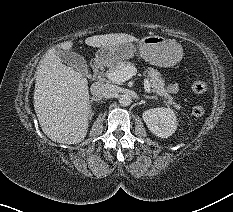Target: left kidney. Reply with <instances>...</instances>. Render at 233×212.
Listing matches in <instances>:
<instances>
[{
    "label": "left kidney",
    "instance_id": "1",
    "mask_svg": "<svg viewBox=\"0 0 233 212\" xmlns=\"http://www.w3.org/2000/svg\"><path fill=\"white\" fill-rule=\"evenodd\" d=\"M143 120L149 130L160 138L170 137L176 130L178 122L170 108H153L143 113Z\"/></svg>",
    "mask_w": 233,
    "mask_h": 212
}]
</instances>
